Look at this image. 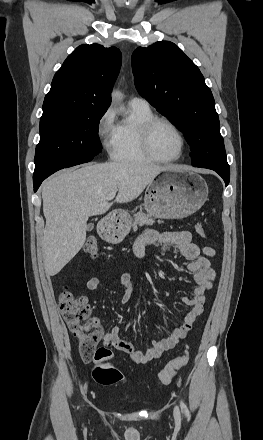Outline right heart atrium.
I'll list each match as a JSON object with an SVG mask.
<instances>
[{
	"instance_id": "right-heart-atrium-1",
	"label": "right heart atrium",
	"mask_w": 263,
	"mask_h": 440,
	"mask_svg": "<svg viewBox=\"0 0 263 440\" xmlns=\"http://www.w3.org/2000/svg\"><path fill=\"white\" fill-rule=\"evenodd\" d=\"M97 136L104 149L112 153L117 138V124L115 122V112L112 107H108L99 117L97 122Z\"/></svg>"
}]
</instances>
